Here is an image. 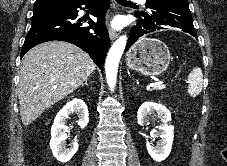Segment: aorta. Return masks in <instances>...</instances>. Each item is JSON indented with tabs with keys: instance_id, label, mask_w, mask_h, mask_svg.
I'll return each instance as SVG.
<instances>
[{
	"instance_id": "aorta-1",
	"label": "aorta",
	"mask_w": 227,
	"mask_h": 166,
	"mask_svg": "<svg viewBox=\"0 0 227 166\" xmlns=\"http://www.w3.org/2000/svg\"><path fill=\"white\" fill-rule=\"evenodd\" d=\"M127 37H119L112 45L105 62L106 79L109 87L113 89L117 80V70L121 56L126 47Z\"/></svg>"
}]
</instances>
